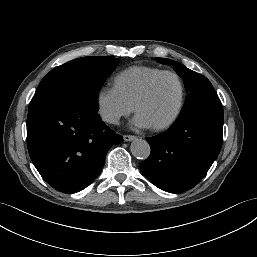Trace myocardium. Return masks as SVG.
<instances>
[{
	"label": "myocardium",
	"instance_id": "f54148a6",
	"mask_svg": "<svg viewBox=\"0 0 257 257\" xmlns=\"http://www.w3.org/2000/svg\"><path fill=\"white\" fill-rule=\"evenodd\" d=\"M167 75L173 76L179 84V88H180L179 101H178V104H177V107H176L174 113L172 114V116L169 119H167L166 121H164L160 124L151 126L156 131L164 130V129H167L170 126H172L177 121V119L179 118V116L182 113V110H183V107L185 104V98H186V88H185V84H184V81L181 78V76L178 73H176L174 71H169V70H164V71L160 72L146 84V86L141 91V93L139 94V96L137 97V99L134 103V110H135V112H138V108H139L140 104L149 97L155 84L162 77L167 76Z\"/></svg>",
	"mask_w": 257,
	"mask_h": 257
}]
</instances>
